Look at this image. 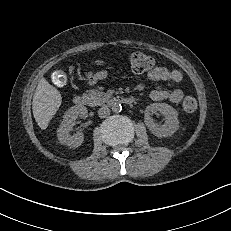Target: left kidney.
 <instances>
[{"mask_svg": "<svg viewBox=\"0 0 231 231\" xmlns=\"http://www.w3.org/2000/svg\"><path fill=\"white\" fill-rule=\"evenodd\" d=\"M155 112H159L165 117L163 125L159 126L154 122L151 114ZM144 120L148 129L159 138L171 136L179 128L177 111L166 103H153L147 106Z\"/></svg>", "mask_w": 231, "mask_h": 231, "instance_id": "left-kidney-1", "label": "left kidney"}]
</instances>
